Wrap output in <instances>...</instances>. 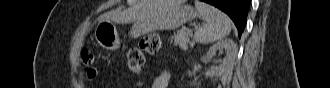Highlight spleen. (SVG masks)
I'll return each mask as SVG.
<instances>
[{
    "instance_id": "obj_1",
    "label": "spleen",
    "mask_w": 330,
    "mask_h": 88,
    "mask_svg": "<svg viewBox=\"0 0 330 88\" xmlns=\"http://www.w3.org/2000/svg\"><path fill=\"white\" fill-rule=\"evenodd\" d=\"M196 9L205 24L198 28L194 39L198 43L208 44L229 35L232 29L231 19L219 9L201 1H195Z\"/></svg>"
}]
</instances>
